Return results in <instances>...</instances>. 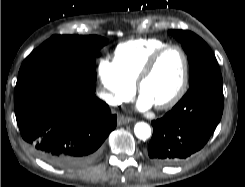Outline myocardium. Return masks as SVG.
Wrapping results in <instances>:
<instances>
[{"label": "myocardium", "mask_w": 245, "mask_h": 187, "mask_svg": "<svg viewBox=\"0 0 245 187\" xmlns=\"http://www.w3.org/2000/svg\"><path fill=\"white\" fill-rule=\"evenodd\" d=\"M177 50L183 61V73L180 84L176 90V92L168 98L166 101L154 105V107L158 110H166L175 106L185 95L188 84H189V60L184 49L176 44H168L160 49H158L155 53L151 55V57L147 60L143 68L141 69L137 80H136V89L139 93H141V88L146 79L152 74L156 64L159 59L169 50Z\"/></svg>", "instance_id": "myocardium-1"}]
</instances>
